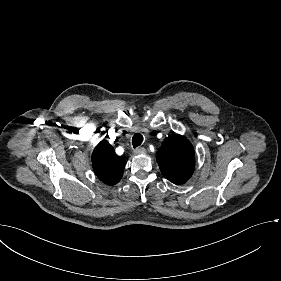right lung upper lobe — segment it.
Returning <instances> with one entry per match:
<instances>
[{
    "label": "right lung upper lobe",
    "instance_id": "cb5924a9",
    "mask_svg": "<svg viewBox=\"0 0 281 281\" xmlns=\"http://www.w3.org/2000/svg\"><path fill=\"white\" fill-rule=\"evenodd\" d=\"M92 167L100 180L108 185H114L122 178L125 159L117 156L114 148L104 140L93 151Z\"/></svg>",
    "mask_w": 281,
    "mask_h": 281
}]
</instances>
